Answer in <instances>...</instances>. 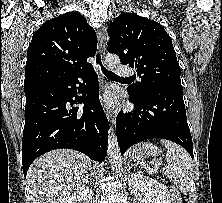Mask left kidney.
Instances as JSON below:
<instances>
[{
	"label": "left kidney",
	"instance_id": "left-kidney-1",
	"mask_svg": "<svg viewBox=\"0 0 222 203\" xmlns=\"http://www.w3.org/2000/svg\"><path fill=\"white\" fill-rule=\"evenodd\" d=\"M128 185L135 196H143V203H171L167 187L158 180L131 173L128 175Z\"/></svg>",
	"mask_w": 222,
	"mask_h": 203
}]
</instances>
